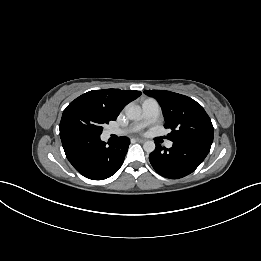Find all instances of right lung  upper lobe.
I'll return each instance as SVG.
<instances>
[{
  "label": "right lung upper lobe",
  "instance_id": "1",
  "mask_svg": "<svg viewBox=\"0 0 261 261\" xmlns=\"http://www.w3.org/2000/svg\"><path fill=\"white\" fill-rule=\"evenodd\" d=\"M140 95L139 91L105 89L89 91L75 100L89 101L102 109L112 120H116L122 109Z\"/></svg>",
  "mask_w": 261,
  "mask_h": 261
}]
</instances>
